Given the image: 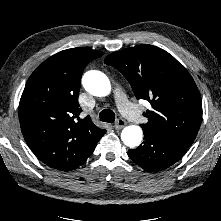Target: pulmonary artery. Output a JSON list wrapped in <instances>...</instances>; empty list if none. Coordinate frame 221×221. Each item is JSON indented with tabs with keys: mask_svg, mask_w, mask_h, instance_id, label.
<instances>
[{
	"mask_svg": "<svg viewBox=\"0 0 221 221\" xmlns=\"http://www.w3.org/2000/svg\"><path fill=\"white\" fill-rule=\"evenodd\" d=\"M114 94L117 105L122 114L134 122H140L142 119L140 112L128 101L124 92L120 88H116Z\"/></svg>",
	"mask_w": 221,
	"mask_h": 221,
	"instance_id": "obj_1",
	"label": "pulmonary artery"
}]
</instances>
